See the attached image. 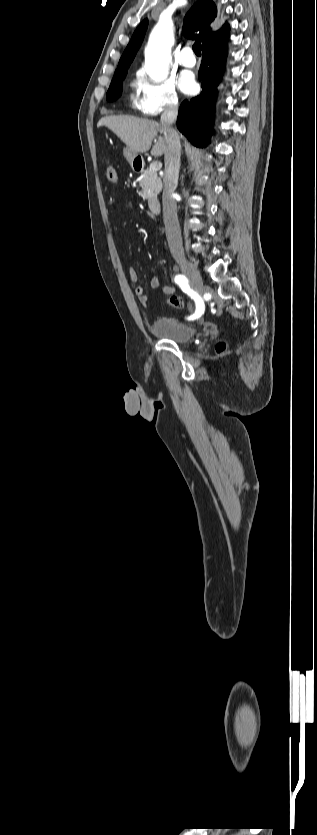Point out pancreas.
Wrapping results in <instances>:
<instances>
[{
    "mask_svg": "<svg viewBox=\"0 0 317 835\" xmlns=\"http://www.w3.org/2000/svg\"><path fill=\"white\" fill-rule=\"evenodd\" d=\"M139 186L141 187L139 195L151 203L152 201L157 200V195L162 189V181L157 176L156 171L147 169L142 173L139 179Z\"/></svg>",
    "mask_w": 317,
    "mask_h": 835,
    "instance_id": "cf45deb5",
    "label": "pancreas"
}]
</instances>
